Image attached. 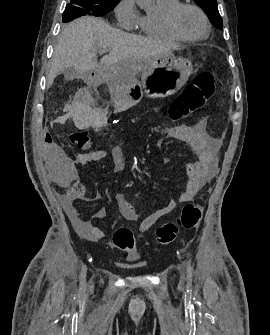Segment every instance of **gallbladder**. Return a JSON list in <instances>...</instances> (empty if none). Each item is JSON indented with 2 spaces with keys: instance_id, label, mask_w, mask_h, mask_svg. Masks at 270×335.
Segmentation results:
<instances>
[{
  "instance_id": "1",
  "label": "gallbladder",
  "mask_w": 270,
  "mask_h": 335,
  "mask_svg": "<svg viewBox=\"0 0 270 335\" xmlns=\"http://www.w3.org/2000/svg\"><path fill=\"white\" fill-rule=\"evenodd\" d=\"M63 72L67 80H75V78H81V80H83V78H85L84 72H78V70H74V68H65Z\"/></svg>"
}]
</instances>
